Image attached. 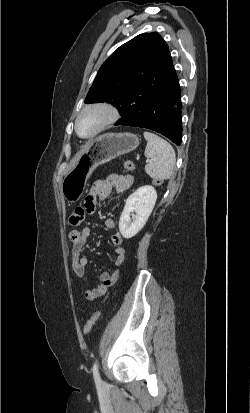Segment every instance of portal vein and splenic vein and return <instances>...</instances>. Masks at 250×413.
Segmentation results:
<instances>
[{
  "instance_id": "portal-vein-and-splenic-vein-1",
  "label": "portal vein and splenic vein",
  "mask_w": 250,
  "mask_h": 413,
  "mask_svg": "<svg viewBox=\"0 0 250 413\" xmlns=\"http://www.w3.org/2000/svg\"><path fill=\"white\" fill-rule=\"evenodd\" d=\"M136 159H137V160H139V159H140L139 155H137ZM146 162H149V160H147Z\"/></svg>"
}]
</instances>
